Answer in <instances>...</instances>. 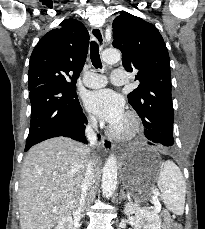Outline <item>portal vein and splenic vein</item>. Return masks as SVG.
<instances>
[{"instance_id": "18ae733b", "label": "portal vein and splenic vein", "mask_w": 205, "mask_h": 229, "mask_svg": "<svg viewBox=\"0 0 205 229\" xmlns=\"http://www.w3.org/2000/svg\"><path fill=\"white\" fill-rule=\"evenodd\" d=\"M152 200H153V204L155 206V211L159 212L161 209V205H160L159 201L156 198H152Z\"/></svg>"}]
</instances>
